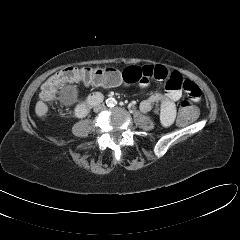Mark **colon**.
I'll list each match as a JSON object with an SVG mask.
<instances>
[{
	"mask_svg": "<svg viewBox=\"0 0 240 240\" xmlns=\"http://www.w3.org/2000/svg\"><path fill=\"white\" fill-rule=\"evenodd\" d=\"M120 73L112 67H67L53 74L41 87V98L51 102L56 97L57 88L66 82H83L88 85L113 83L118 80ZM197 116V108L194 102L186 97L180 105L178 121L188 124Z\"/></svg>",
	"mask_w": 240,
	"mask_h": 240,
	"instance_id": "1",
	"label": "colon"
}]
</instances>
